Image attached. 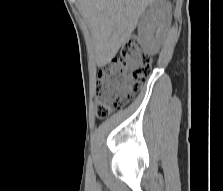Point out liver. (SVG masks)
<instances>
[{
    "label": "liver",
    "instance_id": "obj_1",
    "mask_svg": "<svg viewBox=\"0 0 223 191\" xmlns=\"http://www.w3.org/2000/svg\"><path fill=\"white\" fill-rule=\"evenodd\" d=\"M94 40L96 63L105 66L130 38L147 6L157 0H78Z\"/></svg>",
    "mask_w": 223,
    "mask_h": 191
}]
</instances>
